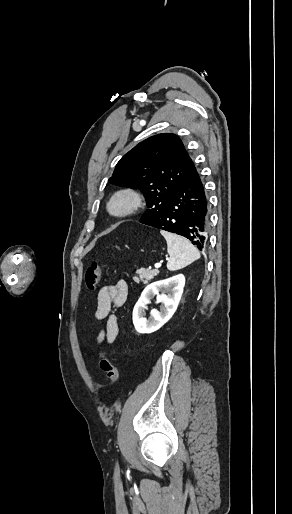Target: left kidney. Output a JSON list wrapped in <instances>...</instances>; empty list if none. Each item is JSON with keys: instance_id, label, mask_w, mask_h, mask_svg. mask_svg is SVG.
<instances>
[{"instance_id": "5707ae66", "label": "left kidney", "mask_w": 292, "mask_h": 514, "mask_svg": "<svg viewBox=\"0 0 292 514\" xmlns=\"http://www.w3.org/2000/svg\"><path fill=\"white\" fill-rule=\"evenodd\" d=\"M184 286L185 278L183 274H178V276H173V278H168V280H159V282H153V284L146 286L133 310V324L136 332H139V334H152V332L162 328L176 312ZM159 292H163V294H159ZM154 296H157L156 304L161 302L163 306L160 308V312L158 310H151V316L147 320L145 318L146 306L150 304V300Z\"/></svg>"}]
</instances>
